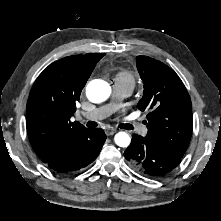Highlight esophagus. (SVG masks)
<instances>
[{"label":"esophagus","mask_w":221,"mask_h":221,"mask_svg":"<svg viewBox=\"0 0 221 221\" xmlns=\"http://www.w3.org/2000/svg\"><path fill=\"white\" fill-rule=\"evenodd\" d=\"M116 132V129L114 128H107L105 133L107 136L113 135Z\"/></svg>","instance_id":"esophagus-1"}]
</instances>
